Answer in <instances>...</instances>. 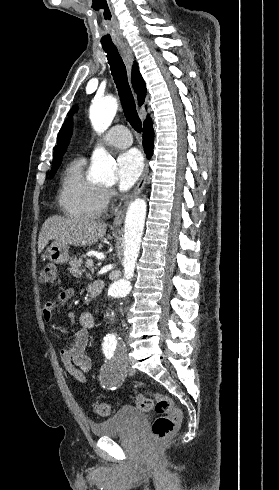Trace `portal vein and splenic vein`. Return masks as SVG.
Segmentation results:
<instances>
[{
    "label": "portal vein and splenic vein",
    "mask_w": 279,
    "mask_h": 490,
    "mask_svg": "<svg viewBox=\"0 0 279 490\" xmlns=\"http://www.w3.org/2000/svg\"><path fill=\"white\" fill-rule=\"evenodd\" d=\"M85 264H86V268H92V266H93L92 260H87V262H85Z\"/></svg>",
    "instance_id": "obj_1"
}]
</instances>
